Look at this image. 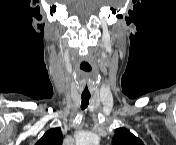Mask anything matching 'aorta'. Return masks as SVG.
<instances>
[{"label":"aorta","mask_w":176,"mask_h":145,"mask_svg":"<svg viewBox=\"0 0 176 145\" xmlns=\"http://www.w3.org/2000/svg\"><path fill=\"white\" fill-rule=\"evenodd\" d=\"M99 136L94 133H86L83 137V144L85 145H98Z\"/></svg>","instance_id":"762f6f07"}]
</instances>
